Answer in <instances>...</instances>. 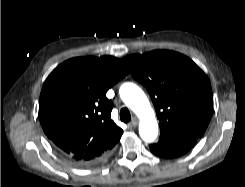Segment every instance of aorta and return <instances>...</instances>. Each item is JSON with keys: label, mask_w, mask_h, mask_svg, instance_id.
<instances>
[{"label": "aorta", "mask_w": 245, "mask_h": 187, "mask_svg": "<svg viewBox=\"0 0 245 187\" xmlns=\"http://www.w3.org/2000/svg\"><path fill=\"white\" fill-rule=\"evenodd\" d=\"M123 102L140 119L139 134L145 142H153L158 135V123L145 93L134 83H124L119 90Z\"/></svg>", "instance_id": "762f6f07"}]
</instances>
